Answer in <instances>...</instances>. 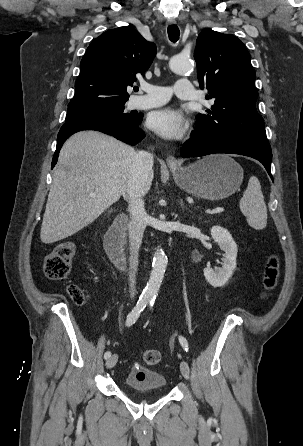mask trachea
Masks as SVG:
<instances>
[{
  "instance_id": "3493384b",
  "label": "trachea",
  "mask_w": 303,
  "mask_h": 446,
  "mask_svg": "<svg viewBox=\"0 0 303 446\" xmlns=\"http://www.w3.org/2000/svg\"><path fill=\"white\" fill-rule=\"evenodd\" d=\"M168 36L169 39L172 42H177L180 36V31L179 28L176 25H169L168 26ZM138 90V88L136 89V91Z\"/></svg>"
}]
</instances>
